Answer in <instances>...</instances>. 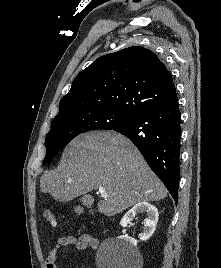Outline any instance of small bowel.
Here are the masks:
<instances>
[{"mask_svg": "<svg viewBox=\"0 0 221 268\" xmlns=\"http://www.w3.org/2000/svg\"><path fill=\"white\" fill-rule=\"evenodd\" d=\"M74 246L78 250H85L87 248L96 249L98 240L88 234L77 236H65L57 240L55 246L46 255V268H58L57 260L60 251L65 247Z\"/></svg>", "mask_w": 221, "mask_h": 268, "instance_id": "obj_1", "label": "small bowel"}]
</instances>
